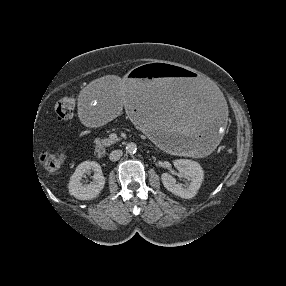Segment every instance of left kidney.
<instances>
[{
	"label": "left kidney",
	"mask_w": 286,
	"mask_h": 286,
	"mask_svg": "<svg viewBox=\"0 0 286 286\" xmlns=\"http://www.w3.org/2000/svg\"><path fill=\"white\" fill-rule=\"evenodd\" d=\"M175 168L191 179L187 188H183L181 184L176 183V179L169 173H163L161 180L164 187L181 198L190 199L198 192L203 179L204 171L199 163L188 159H177L173 162Z\"/></svg>",
	"instance_id": "left-kidney-1"
}]
</instances>
